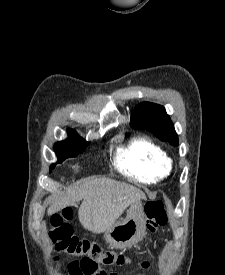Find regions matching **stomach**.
Instances as JSON below:
<instances>
[{
  "mask_svg": "<svg viewBox=\"0 0 225 275\" xmlns=\"http://www.w3.org/2000/svg\"><path fill=\"white\" fill-rule=\"evenodd\" d=\"M145 230L144 204L136 201L131 204L125 219L116 222L105 231L104 238L111 247L124 249L140 242L145 235Z\"/></svg>",
  "mask_w": 225,
  "mask_h": 275,
  "instance_id": "obj_1",
  "label": "stomach"
}]
</instances>
